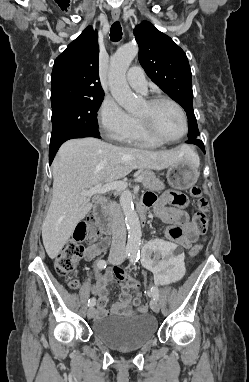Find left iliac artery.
<instances>
[{"mask_svg": "<svg viewBox=\"0 0 249 382\" xmlns=\"http://www.w3.org/2000/svg\"><path fill=\"white\" fill-rule=\"evenodd\" d=\"M139 254H140L139 252L134 251V252L132 253L131 258H130V262H131V263H135V262H137L138 259H139ZM149 293L152 295V297H153L154 300L157 301V300L159 299V292H158L157 287L152 286L151 289H150V291H149Z\"/></svg>", "mask_w": 249, "mask_h": 382, "instance_id": "44dca946", "label": "left iliac artery"}]
</instances>
